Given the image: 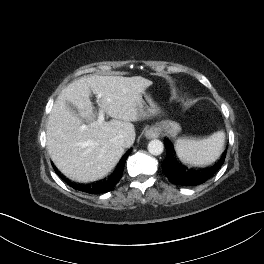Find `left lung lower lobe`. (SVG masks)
Wrapping results in <instances>:
<instances>
[{
  "label": "left lung lower lobe",
  "mask_w": 264,
  "mask_h": 264,
  "mask_svg": "<svg viewBox=\"0 0 264 264\" xmlns=\"http://www.w3.org/2000/svg\"><path fill=\"white\" fill-rule=\"evenodd\" d=\"M164 143L167 156L162 163L163 172L172 183L183 186L199 185L211 178L223 165L227 152L224 151L221 158L212 167L204 171H194L186 169L176 160L172 144L168 139H165Z\"/></svg>",
  "instance_id": "obj_1"
}]
</instances>
